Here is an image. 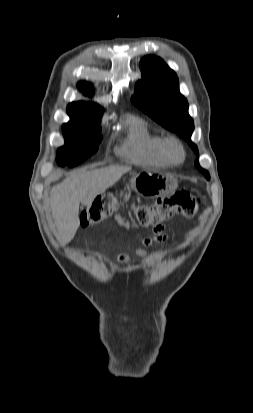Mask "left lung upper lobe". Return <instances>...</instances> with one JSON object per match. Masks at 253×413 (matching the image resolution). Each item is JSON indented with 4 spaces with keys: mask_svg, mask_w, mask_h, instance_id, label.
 Returning <instances> with one entry per match:
<instances>
[{
    "mask_svg": "<svg viewBox=\"0 0 253 413\" xmlns=\"http://www.w3.org/2000/svg\"><path fill=\"white\" fill-rule=\"evenodd\" d=\"M142 78L136 83L133 104L143 110L164 128L184 138L198 155L197 146L190 137L194 123L188 114V103L179 92L178 78L162 59L146 56L140 62ZM195 166L209 180V173L195 161Z\"/></svg>",
    "mask_w": 253,
    "mask_h": 413,
    "instance_id": "obj_1",
    "label": "left lung upper lobe"
}]
</instances>
